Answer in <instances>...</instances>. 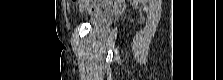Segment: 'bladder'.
<instances>
[{"label": "bladder", "instance_id": "31cf9c89", "mask_svg": "<svg viewBox=\"0 0 223 80\" xmlns=\"http://www.w3.org/2000/svg\"><path fill=\"white\" fill-rule=\"evenodd\" d=\"M108 17L105 15H96L90 20V25L93 28H101L108 24Z\"/></svg>", "mask_w": 223, "mask_h": 80}]
</instances>
